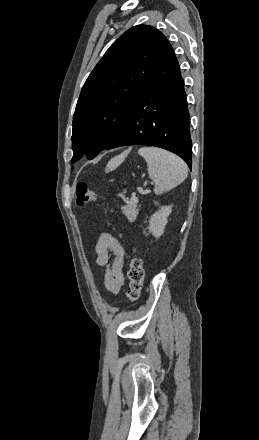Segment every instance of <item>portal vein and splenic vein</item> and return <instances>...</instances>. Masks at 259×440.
Instances as JSON below:
<instances>
[{"instance_id":"portal-vein-and-splenic-vein-1","label":"portal vein and splenic vein","mask_w":259,"mask_h":440,"mask_svg":"<svg viewBox=\"0 0 259 440\" xmlns=\"http://www.w3.org/2000/svg\"><path fill=\"white\" fill-rule=\"evenodd\" d=\"M137 190H138V192L141 193V194H144V193H145L144 190H143V188H138ZM137 201H138V199H137L136 196L134 195V196L132 197V202H137Z\"/></svg>"}]
</instances>
